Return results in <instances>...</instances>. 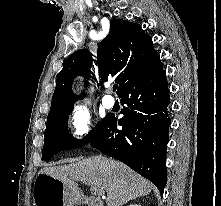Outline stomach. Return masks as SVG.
<instances>
[{"label":"stomach","mask_w":221,"mask_h":206,"mask_svg":"<svg viewBox=\"0 0 221 206\" xmlns=\"http://www.w3.org/2000/svg\"><path fill=\"white\" fill-rule=\"evenodd\" d=\"M34 189V206H74L82 201L77 187L46 174L38 175Z\"/></svg>","instance_id":"obj_1"}]
</instances>
